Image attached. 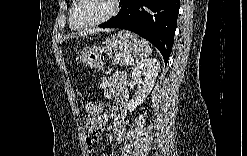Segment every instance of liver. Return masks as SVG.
Returning a JSON list of instances; mask_svg holds the SVG:
<instances>
[{
	"instance_id": "obj_1",
	"label": "liver",
	"mask_w": 247,
	"mask_h": 156,
	"mask_svg": "<svg viewBox=\"0 0 247 156\" xmlns=\"http://www.w3.org/2000/svg\"><path fill=\"white\" fill-rule=\"evenodd\" d=\"M99 31H107V32H109L110 30L93 29V30H87V31L81 32L79 35L80 36H85V35H88V34H91V33L99 32Z\"/></svg>"
}]
</instances>
